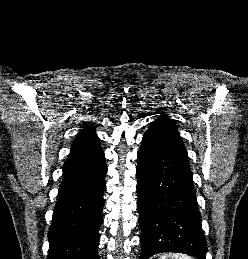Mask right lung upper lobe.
Returning <instances> with one entry per match:
<instances>
[{
	"instance_id": "obj_1",
	"label": "right lung upper lobe",
	"mask_w": 248,
	"mask_h": 259,
	"mask_svg": "<svg viewBox=\"0 0 248 259\" xmlns=\"http://www.w3.org/2000/svg\"><path fill=\"white\" fill-rule=\"evenodd\" d=\"M102 151L99 138L96 136L94 130L86 127L77 134L67 162L83 161L98 155Z\"/></svg>"
}]
</instances>
